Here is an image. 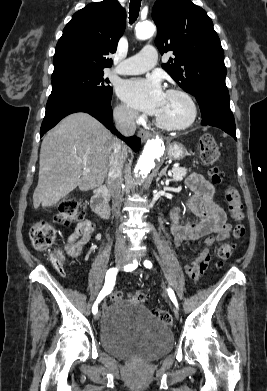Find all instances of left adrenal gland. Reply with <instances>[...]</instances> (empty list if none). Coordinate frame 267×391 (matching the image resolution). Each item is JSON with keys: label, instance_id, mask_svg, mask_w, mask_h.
Listing matches in <instances>:
<instances>
[{"label": "left adrenal gland", "instance_id": "1", "mask_svg": "<svg viewBox=\"0 0 267 391\" xmlns=\"http://www.w3.org/2000/svg\"><path fill=\"white\" fill-rule=\"evenodd\" d=\"M167 168H168V165L165 166V167L160 171V173H159V178H161L162 176L167 177V175H166V170H167Z\"/></svg>", "mask_w": 267, "mask_h": 391}]
</instances>
